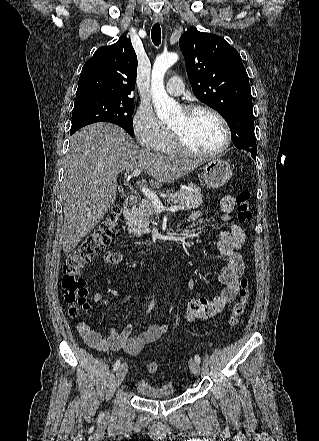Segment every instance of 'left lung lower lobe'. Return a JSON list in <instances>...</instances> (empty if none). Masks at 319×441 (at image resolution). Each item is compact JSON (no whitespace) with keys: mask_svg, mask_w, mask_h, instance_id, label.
<instances>
[{"mask_svg":"<svg viewBox=\"0 0 319 441\" xmlns=\"http://www.w3.org/2000/svg\"><path fill=\"white\" fill-rule=\"evenodd\" d=\"M256 160V156H252Z\"/></svg>","mask_w":319,"mask_h":441,"instance_id":"0a47b994","label":"left lung lower lobe"}]
</instances>
